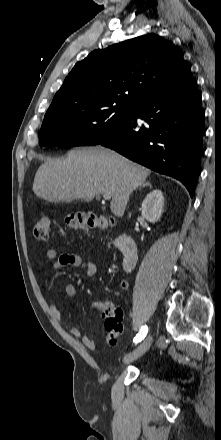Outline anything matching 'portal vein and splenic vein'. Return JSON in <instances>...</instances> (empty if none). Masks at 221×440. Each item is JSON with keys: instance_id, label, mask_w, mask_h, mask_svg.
I'll use <instances>...</instances> for the list:
<instances>
[{"instance_id": "portal-vein-and-splenic-vein-1", "label": "portal vein and splenic vein", "mask_w": 221, "mask_h": 440, "mask_svg": "<svg viewBox=\"0 0 221 440\" xmlns=\"http://www.w3.org/2000/svg\"><path fill=\"white\" fill-rule=\"evenodd\" d=\"M103 198H104L105 200H109V199L111 198L110 193H108V192H104V193H103Z\"/></svg>"}]
</instances>
